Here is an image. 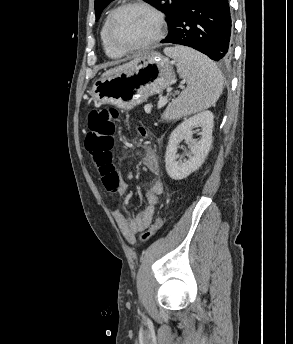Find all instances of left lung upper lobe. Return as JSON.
Instances as JSON below:
<instances>
[{"label":"left lung upper lobe","instance_id":"left-lung-upper-lobe-1","mask_svg":"<svg viewBox=\"0 0 293 344\" xmlns=\"http://www.w3.org/2000/svg\"><path fill=\"white\" fill-rule=\"evenodd\" d=\"M113 0H95L96 20L99 19L103 9ZM167 16L166 22L169 29L172 27L182 0H144Z\"/></svg>","mask_w":293,"mask_h":344}]
</instances>
